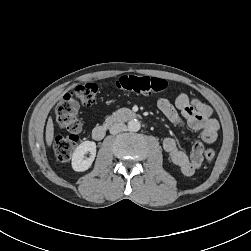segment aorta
Masks as SVG:
<instances>
[{"label":"aorta","mask_w":251,"mask_h":251,"mask_svg":"<svg viewBox=\"0 0 251 251\" xmlns=\"http://www.w3.org/2000/svg\"><path fill=\"white\" fill-rule=\"evenodd\" d=\"M141 128L140 122L137 119L130 120L128 122V130L131 132H137Z\"/></svg>","instance_id":"obj_1"}]
</instances>
